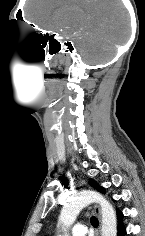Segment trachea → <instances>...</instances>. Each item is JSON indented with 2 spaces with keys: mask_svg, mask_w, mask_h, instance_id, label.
<instances>
[{
  "mask_svg": "<svg viewBox=\"0 0 145 236\" xmlns=\"http://www.w3.org/2000/svg\"><path fill=\"white\" fill-rule=\"evenodd\" d=\"M90 221H91V224H92L94 227H98L99 222H98V219H97L95 216H92L91 219H90Z\"/></svg>",
  "mask_w": 145,
  "mask_h": 236,
  "instance_id": "trachea-1",
  "label": "trachea"
}]
</instances>
